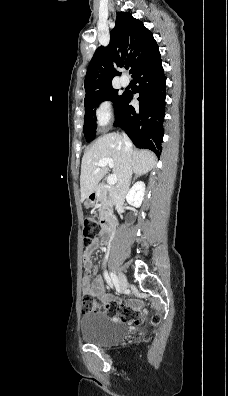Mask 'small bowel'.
I'll list each match as a JSON object with an SVG mask.
<instances>
[{"mask_svg": "<svg viewBox=\"0 0 228 396\" xmlns=\"http://www.w3.org/2000/svg\"><path fill=\"white\" fill-rule=\"evenodd\" d=\"M100 241L103 242L102 232H99L98 236L91 241L89 247L84 253L83 266L86 273L82 279V291L84 294L97 296L102 302L106 303L112 300L113 298L112 296L106 293L103 278L101 276L93 277V275L97 272V269L91 259V255L93 251L98 247ZM128 303L134 309H138L140 306V303L135 300H131ZM139 321H140L139 317L134 319L135 323Z\"/></svg>", "mask_w": 228, "mask_h": 396, "instance_id": "1", "label": "small bowel"}]
</instances>
